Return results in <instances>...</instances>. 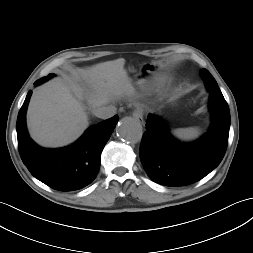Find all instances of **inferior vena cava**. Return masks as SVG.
<instances>
[{"label": "inferior vena cava", "mask_w": 253, "mask_h": 253, "mask_svg": "<svg viewBox=\"0 0 253 253\" xmlns=\"http://www.w3.org/2000/svg\"><path fill=\"white\" fill-rule=\"evenodd\" d=\"M94 114L96 117L101 119H108L113 117L116 114V108L114 106H102L98 107L94 110Z\"/></svg>", "instance_id": "inferior-vena-cava-1"}]
</instances>
